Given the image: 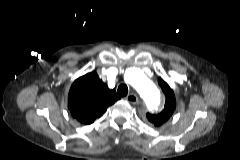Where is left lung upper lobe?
Listing matches in <instances>:
<instances>
[{"instance_id": "5c2ea615", "label": "left lung upper lobe", "mask_w": 240, "mask_h": 160, "mask_svg": "<svg viewBox=\"0 0 240 160\" xmlns=\"http://www.w3.org/2000/svg\"><path fill=\"white\" fill-rule=\"evenodd\" d=\"M158 83L166 97L164 109L157 114L156 113L146 114L148 121L157 127L161 126L171 117L176 105V100H175L173 90L169 87V85L162 78H158Z\"/></svg>"}]
</instances>
